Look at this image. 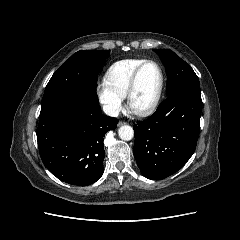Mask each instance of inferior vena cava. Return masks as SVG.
I'll return each mask as SVG.
<instances>
[{
    "label": "inferior vena cava",
    "instance_id": "602c4592",
    "mask_svg": "<svg viewBox=\"0 0 240 240\" xmlns=\"http://www.w3.org/2000/svg\"><path fill=\"white\" fill-rule=\"evenodd\" d=\"M103 111L106 115L111 116V117H117L120 112L119 108L117 106H113V105H104Z\"/></svg>",
    "mask_w": 240,
    "mask_h": 240
}]
</instances>
